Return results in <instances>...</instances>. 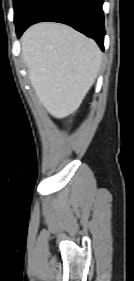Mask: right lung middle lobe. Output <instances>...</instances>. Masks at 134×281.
I'll use <instances>...</instances> for the list:
<instances>
[{
    "instance_id": "1",
    "label": "right lung middle lobe",
    "mask_w": 134,
    "mask_h": 281,
    "mask_svg": "<svg viewBox=\"0 0 134 281\" xmlns=\"http://www.w3.org/2000/svg\"><path fill=\"white\" fill-rule=\"evenodd\" d=\"M13 1H14V20H15L16 28H18L32 0H13Z\"/></svg>"
}]
</instances>
